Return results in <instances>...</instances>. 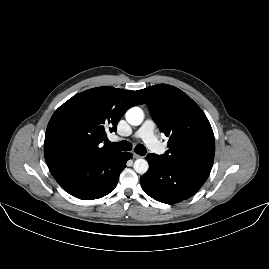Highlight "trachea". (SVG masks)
Returning <instances> with one entry per match:
<instances>
[{"label": "trachea", "instance_id": "trachea-1", "mask_svg": "<svg viewBox=\"0 0 269 269\" xmlns=\"http://www.w3.org/2000/svg\"><path fill=\"white\" fill-rule=\"evenodd\" d=\"M106 145L120 151H130L132 149V144L128 141H120L116 143L107 141ZM134 151L135 153L144 156L146 154V147L143 144H138L134 148Z\"/></svg>", "mask_w": 269, "mask_h": 269}]
</instances>
